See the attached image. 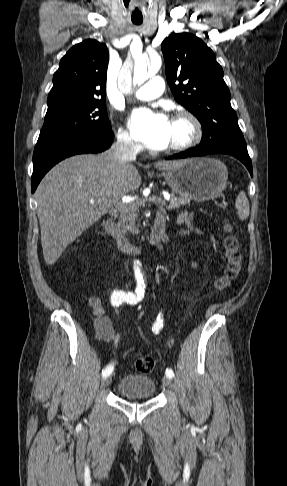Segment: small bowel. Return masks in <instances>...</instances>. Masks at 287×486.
<instances>
[{
  "label": "small bowel",
  "mask_w": 287,
  "mask_h": 486,
  "mask_svg": "<svg viewBox=\"0 0 287 486\" xmlns=\"http://www.w3.org/2000/svg\"><path fill=\"white\" fill-rule=\"evenodd\" d=\"M176 224L178 226L174 233L176 236H185L194 230L192 225V215L189 212L181 213L176 219ZM170 237L171 236H167L166 239L168 240ZM89 305L95 316L94 326L98 338L108 342H117L118 334L110 319L105 315L101 299L96 296H90Z\"/></svg>",
  "instance_id": "small-bowel-1"
}]
</instances>
